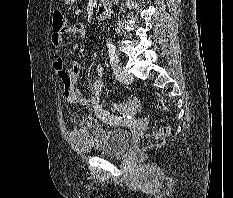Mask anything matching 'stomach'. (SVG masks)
Segmentation results:
<instances>
[{"label":"stomach","instance_id":"1","mask_svg":"<svg viewBox=\"0 0 233 198\" xmlns=\"http://www.w3.org/2000/svg\"><path fill=\"white\" fill-rule=\"evenodd\" d=\"M66 4H74L77 0H64Z\"/></svg>","mask_w":233,"mask_h":198}]
</instances>
